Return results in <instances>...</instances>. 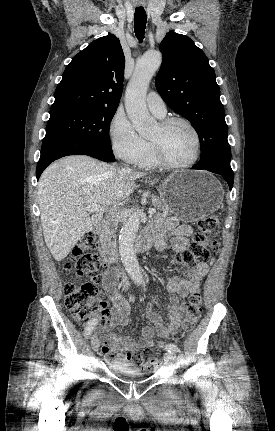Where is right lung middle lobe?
Listing matches in <instances>:
<instances>
[{
    "label": "right lung middle lobe",
    "mask_w": 275,
    "mask_h": 431,
    "mask_svg": "<svg viewBox=\"0 0 275 431\" xmlns=\"http://www.w3.org/2000/svg\"><path fill=\"white\" fill-rule=\"evenodd\" d=\"M117 108H75L50 113L44 141L80 140L112 151L109 124Z\"/></svg>",
    "instance_id": "right-lung-middle-lobe-1"
}]
</instances>
